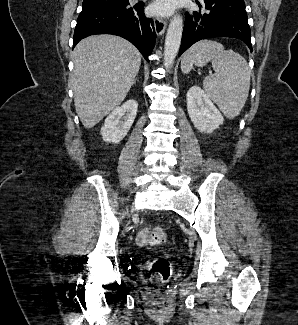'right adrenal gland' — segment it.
Wrapping results in <instances>:
<instances>
[{"label":"right adrenal gland","instance_id":"1","mask_svg":"<svg viewBox=\"0 0 298 325\" xmlns=\"http://www.w3.org/2000/svg\"><path fill=\"white\" fill-rule=\"evenodd\" d=\"M136 80H137V78H134V80H133L132 84H134V82H136Z\"/></svg>","mask_w":298,"mask_h":325}]
</instances>
